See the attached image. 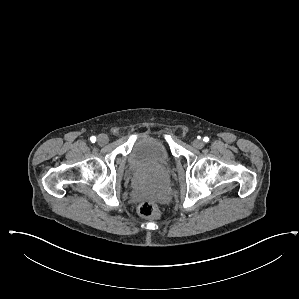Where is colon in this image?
Returning <instances> with one entry per match:
<instances>
[{
    "mask_svg": "<svg viewBox=\"0 0 299 299\" xmlns=\"http://www.w3.org/2000/svg\"><path fill=\"white\" fill-rule=\"evenodd\" d=\"M138 214L146 219H155L159 217L160 210L158 206L150 201H143L137 207Z\"/></svg>",
    "mask_w": 299,
    "mask_h": 299,
    "instance_id": "colon-1",
    "label": "colon"
}]
</instances>
